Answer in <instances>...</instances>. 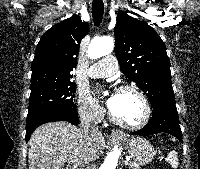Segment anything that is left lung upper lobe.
Returning <instances> with one entry per match:
<instances>
[{"instance_id": "5c2ea615", "label": "left lung upper lobe", "mask_w": 200, "mask_h": 169, "mask_svg": "<svg viewBox=\"0 0 200 169\" xmlns=\"http://www.w3.org/2000/svg\"><path fill=\"white\" fill-rule=\"evenodd\" d=\"M114 35L121 71L147 95L152 108L175 104L170 62L157 32L147 23L118 12Z\"/></svg>"}]
</instances>
